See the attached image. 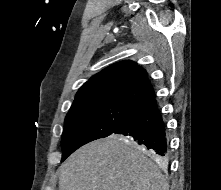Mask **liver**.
I'll return each instance as SVG.
<instances>
[{"instance_id": "liver-1", "label": "liver", "mask_w": 221, "mask_h": 190, "mask_svg": "<svg viewBox=\"0 0 221 190\" xmlns=\"http://www.w3.org/2000/svg\"><path fill=\"white\" fill-rule=\"evenodd\" d=\"M159 166L135 143L111 135L79 148L60 166L59 190H169Z\"/></svg>"}]
</instances>
